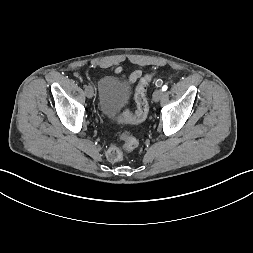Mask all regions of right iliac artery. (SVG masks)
I'll return each instance as SVG.
<instances>
[{"label": "right iliac artery", "instance_id": "right-iliac-artery-1", "mask_svg": "<svg viewBox=\"0 0 253 253\" xmlns=\"http://www.w3.org/2000/svg\"><path fill=\"white\" fill-rule=\"evenodd\" d=\"M87 87V85H83V88H86Z\"/></svg>", "mask_w": 253, "mask_h": 253}]
</instances>
